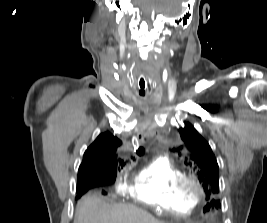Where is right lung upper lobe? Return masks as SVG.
Segmentation results:
<instances>
[{
	"instance_id": "1",
	"label": "right lung upper lobe",
	"mask_w": 267,
	"mask_h": 223,
	"mask_svg": "<svg viewBox=\"0 0 267 223\" xmlns=\"http://www.w3.org/2000/svg\"><path fill=\"white\" fill-rule=\"evenodd\" d=\"M121 141L112 134L106 132L100 134L97 139L88 147L79 167L78 178L85 176H103L110 168H117L118 162L115 156L116 148Z\"/></svg>"
}]
</instances>
